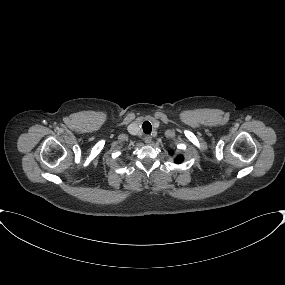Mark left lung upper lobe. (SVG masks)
Here are the masks:
<instances>
[{
  "instance_id": "1",
  "label": "left lung upper lobe",
  "mask_w": 285,
  "mask_h": 285,
  "mask_svg": "<svg viewBox=\"0 0 285 285\" xmlns=\"http://www.w3.org/2000/svg\"><path fill=\"white\" fill-rule=\"evenodd\" d=\"M182 161H183V157L181 155H179L175 158V162L178 164L181 163Z\"/></svg>"
}]
</instances>
